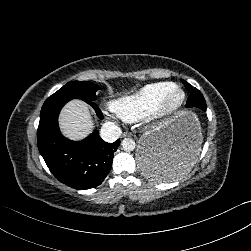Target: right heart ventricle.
Segmentation results:
<instances>
[{
  "mask_svg": "<svg viewBox=\"0 0 251 251\" xmlns=\"http://www.w3.org/2000/svg\"><path fill=\"white\" fill-rule=\"evenodd\" d=\"M171 84V82H157L145 85L117 103L118 113L128 120L148 115Z\"/></svg>",
  "mask_w": 251,
  "mask_h": 251,
  "instance_id": "1",
  "label": "right heart ventricle"
}]
</instances>
